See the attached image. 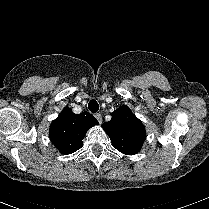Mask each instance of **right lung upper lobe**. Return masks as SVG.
I'll return each instance as SVG.
<instances>
[{"label": "right lung upper lobe", "mask_w": 209, "mask_h": 209, "mask_svg": "<svg viewBox=\"0 0 209 209\" xmlns=\"http://www.w3.org/2000/svg\"><path fill=\"white\" fill-rule=\"evenodd\" d=\"M98 121L87 111L74 114L70 108H64L50 126V139L62 154H71L79 150L87 130Z\"/></svg>", "instance_id": "obj_1"}]
</instances>
